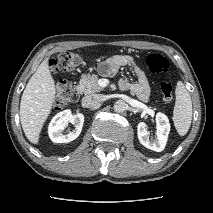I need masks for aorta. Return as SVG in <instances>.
I'll use <instances>...</instances> for the list:
<instances>
[{
  "label": "aorta",
  "mask_w": 213,
  "mask_h": 213,
  "mask_svg": "<svg viewBox=\"0 0 213 213\" xmlns=\"http://www.w3.org/2000/svg\"><path fill=\"white\" fill-rule=\"evenodd\" d=\"M127 104L123 100H118L114 104V110L117 113H122L126 110Z\"/></svg>",
  "instance_id": "obj_1"
}]
</instances>
